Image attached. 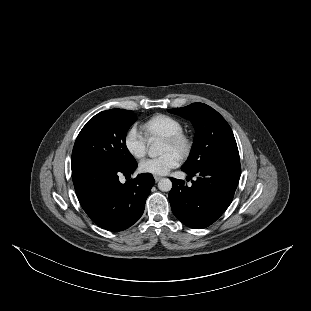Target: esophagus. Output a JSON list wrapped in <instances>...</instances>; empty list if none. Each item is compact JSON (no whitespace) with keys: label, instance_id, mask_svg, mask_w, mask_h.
<instances>
[{"label":"esophagus","instance_id":"obj_1","mask_svg":"<svg viewBox=\"0 0 311 311\" xmlns=\"http://www.w3.org/2000/svg\"><path fill=\"white\" fill-rule=\"evenodd\" d=\"M154 179H155L156 182H158L161 179V176L154 175Z\"/></svg>","mask_w":311,"mask_h":311}]
</instances>
